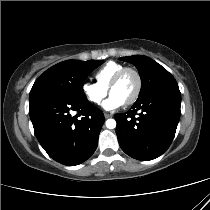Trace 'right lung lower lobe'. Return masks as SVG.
Wrapping results in <instances>:
<instances>
[{
  "instance_id": "1",
  "label": "right lung lower lobe",
  "mask_w": 210,
  "mask_h": 210,
  "mask_svg": "<svg viewBox=\"0 0 210 210\" xmlns=\"http://www.w3.org/2000/svg\"><path fill=\"white\" fill-rule=\"evenodd\" d=\"M71 111L77 114L72 116ZM29 114L39 143L55 161L75 166L96 150L104 115L87 99L36 97L29 100Z\"/></svg>"
}]
</instances>
